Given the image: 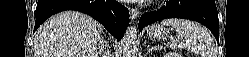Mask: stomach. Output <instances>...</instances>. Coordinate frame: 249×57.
I'll use <instances>...</instances> for the list:
<instances>
[{
	"label": "stomach",
	"mask_w": 249,
	"mask_h": 57,
	"mask_svg": "<svg viewBox=\"0 0 249 57\" xmlns=\"http://www.w3.org/2000/svg\"><path fill=\"white\" fill-rule=\"evenodd\" d=\"M147 35L152 39L170 38V28L162 25H152L147 30Z\"/></svg>",
	"instance_id": "0dacf381"
}]
</instances>
